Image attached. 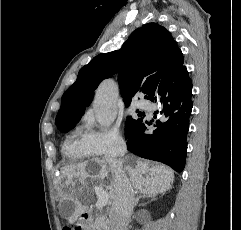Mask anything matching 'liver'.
<instances>
[{"mask_svg":"<svg viewBox=\"0 0 241 230\" xmlns=\"http://www.w3.org/2000/svg\"><path fill=\"white\" fill-rule=\"evenodd\" d=\"M95 163L96 169L92 175L88 172L86 163L63 168L67 177L66 183L72 185L71 191L62 198L67 203L73 204L71 222H75L79 216L87 211V206L82 205L80 201V194L84 191L88 192L91 189L96 191L97 188H100L108 194L109 201H113L115 195L114 180L110 174V165L106 159H96ZM123 163L125 161H122ZM126 163L124 169L128 172L129 180L136 192L156 196L171 189L174 173L170 168L160 164H150L136 157H130ZM87 178L91 179L92 187L86 182ZM74 179L81 185L77 186L73 181ZM96 182H99V185Z\"/></svg>","mask_w":241,"mask_h":230,"instance_id":"1","label":"liver"}]
</instances>
